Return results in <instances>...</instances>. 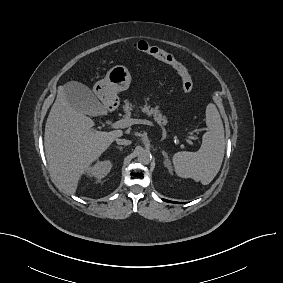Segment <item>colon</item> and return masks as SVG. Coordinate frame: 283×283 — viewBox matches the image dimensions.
<instances>
[{
  "instance_id": "colon-1",
  "label": "colon",
  "mask_w": 283,
  "mask_h": 283,
  "mask_svg": "<svg viewBox=\"0 0 283 283\" xmlns=\"http://www.w3.org/2000/svg\"><path fill=\"white\" fill-rule=\"evenodd\" d=\"M133 47L137 51L150 55L171 67L180 78L182 90L187 94L193 92L194 82L190 73L171 53L144 40L135 42Z\"/></svg>"
}]
</instances>
